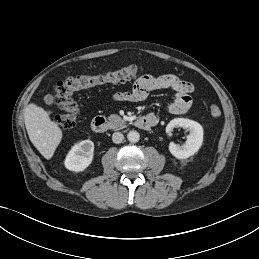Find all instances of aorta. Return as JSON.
<instances>
[{"instance_id": "obj_1", "label": "aorta", "mask_w": 259, "mask_h": 259, "mask_svg": "<svg viewBox=\"0 0 259 259\" xmlns=\"http://www.w3.org/2000/svg\"><path fill=\"white\" fill-rule=\"evenodd\" d=\"M127 139L132 142V143H136L139 141L140 139V135L137 131H130L128 134H127Z\"/></svg>"}]
</instances>
